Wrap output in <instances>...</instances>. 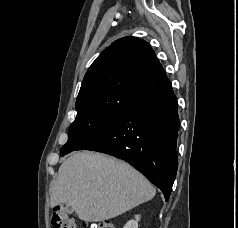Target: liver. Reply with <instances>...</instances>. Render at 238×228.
I'll return each mask as SVG.
<instances>
[{
	"label": "liver",
	"mask_w": 238,
	"mask_h": 228,
	"mask_svg": "<svg viewBox=\"0 0 238 228\" xmlns=\"http://www.w3.org/2000/svg\"><path fill=\"white\" fill-rule=\"evenodd\" d=\"M149 181L129 164L94 152L65 160L51 188V207L65 204L85 222H100L151 200Z\"/></svg>",
	"instance_id": "6515ba94"
}]
</instances>
